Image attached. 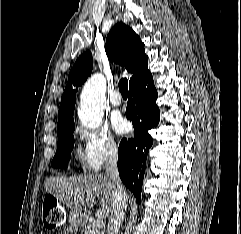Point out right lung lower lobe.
<instances>
[{
	"instance_id": "obj_1",
	"label": "right lung lower lobe",
	"mask_w": 241,
	"mask_h": 234,
	"mask_svg": "<svg viewBox=\"0 0 241 234\" xmlns=\"http://www.w3.org/2000/svg\"><path fill=\"white\" fill-rule=\"evenodd\" d=\"M157 98L151 73L129 87L126 117L132 121L135 135L121 140L118 169L122 182L133 192L137 202L141 198L146 159L153 143L148 130L156 127L160 119Z\"/></svg>"
}]
</instances>
